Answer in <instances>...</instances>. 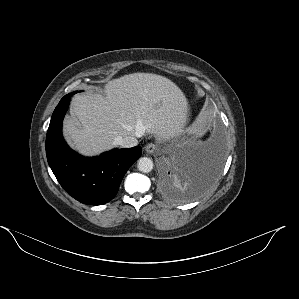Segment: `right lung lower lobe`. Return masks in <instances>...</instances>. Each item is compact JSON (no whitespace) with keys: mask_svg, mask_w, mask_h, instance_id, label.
<instances>
[{"mask_svg":"<svg viewBox=\"0 0 299 299\" xmlns=\"http://www.w3.org/2000/svg\"><path fill=\"white\" fill-rule=\"evenodd\" d=\"M65 95L55 108L46 137L48 163L63 189L81 203L101 205L112 200L129 167L142 149H114L97 157H83L71 150L62 137V121L70 97Z\"/></svg>","mask_w":299,"mask_h":299,"instance_id":"obj_1","label":"right lung lower lobe"}]
</instances>
